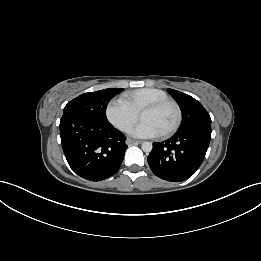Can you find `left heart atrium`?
<instances>
[{
    "label": "left heart atrium",
    "mask_w": 261,
    "mask_h": 261,
    "mask_svg": "<svg viewBox=\"0 0 261 261\" xmlns=\"http://www.w3.org/2000/svg\"><path fill=\"white\" fill-rule=\"evenodd\" d=\"M130 134L139 138H153L160 136L162 131L153 122L142 120L130 130Z\"/></svg>",
    "instance_id": "1"
}]
</instances>
